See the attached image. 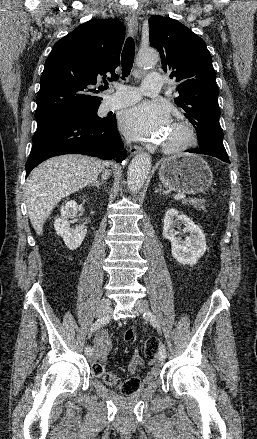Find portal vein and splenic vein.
Here are the masks:
<instances>
[{"label":"portal vein and splenic vein","instance_id":"portal-vein-and-splenic-vein-1","mask_svg":"<svg viewBox=\"0 0 257 439\" xmlns=\"http://www.w3.org/2000/svg\"><path fill=\"white\" fill-rule=\"evenodd\" d=\"M185 197H186L185 194H176V195L174 196V199L179 200V199H184Z\"/></svg>","mask_w":257,"mask_h":439}]
</instances>
